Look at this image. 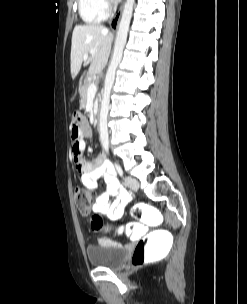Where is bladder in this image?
Returning <instances> with one entry per match:
<instances>
[{"instance_id":"bladder-1","label":"bladder","mask_w":247,"mask_h":304,"mask_svg":"<svg viewBox=\"0 0 247 304\" xmlns=\"http://www.w3.org/2000/svg\"><path fill=\"white\" fill-rule=\"evenodd\" d=\"M88 262L92 267L116 270L126 257L127 248L116 243H105L89 246L86 250Z\"/></svg>"}]
</instances>
